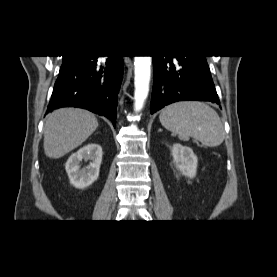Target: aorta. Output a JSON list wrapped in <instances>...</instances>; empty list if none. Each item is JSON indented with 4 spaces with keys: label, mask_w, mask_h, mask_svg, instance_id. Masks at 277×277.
<instances>
[{
    "label": "aorta",
    "mask_w": 277,
    "mask_h": 277,
    "mask_svg": "<svg viewBox=\"0 0 277 277\" xmlns=\"http://www.w3.org/2000/svg\"><path fill=\"white\" fill-rule=\"evenodd\" d=\"M134 110L140 111L149 93L151 56L134 57Z\"/></svg>",
    "instance_id": "aorta-1"
}]
</instances>
